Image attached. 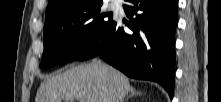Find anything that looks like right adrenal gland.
Here are the masks:
<instances>
[{
	"instance_id": "2a0ac1e0",
	"label": "right adrenal gland",
	"mask_w": 221,
	"mask_h": 102,
	"mask_svg": "<svg viewBox=\"0 0 221 102\" xmlns=\"http://www.w3.org/2000/svg\"><path fill=\"white\" fill-rule=\"evenodd\" d=\"M137 95L140 96V95H141V92H138V91H136L135 89H131V90H130V94H129V96H127L125 102H127V100H128L129 98H131V97H133V96H137Z\"/></svg>"
}]
</instances>
